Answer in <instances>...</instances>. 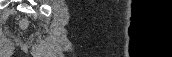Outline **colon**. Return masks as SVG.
<instances>
[{
	"label": "colon",
	"mask_w": 172,
	"mask_h": 57,
	"mask_svg": "<svg viewBox=\"0 0 172 57\" xmlns=\"http://www.w3.org/2000/svg\"><path fill=\"white\" fill-rule=\"evenodd\" d=\"M20 25L22 28H25L27 26V21L25 20L21 21Z\"/></svg>",
	"instance_id": "colon-1"
}]
</instances>
